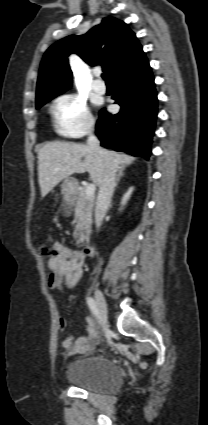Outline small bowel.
<instances>
[{
	"mask_svg": "<svg viewBox=\"0 0 208 425\" xmlns=\"http://www.w3.org/2000/svg\"><path fill=\"white\" fill-rule=\"evenodd\" d=\"M54 255L48 260L50 274L48 287L52 290L64 291L73 288L81 279L84 272V256L67 247L61 242H54ZM67 322L59 318L60 329H65ZM85 336H69L62 341V347L67 355H81L90 351L98 338L95 322L87 317Z\"/></svg>",
	"mask_w": 208,
	"mask_h": 425,
	"instance_id": "obj_1",
	"label": "small bowel"
}]
</instances>
